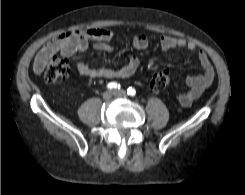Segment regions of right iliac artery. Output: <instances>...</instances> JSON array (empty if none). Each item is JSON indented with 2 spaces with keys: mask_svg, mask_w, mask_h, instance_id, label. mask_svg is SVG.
I'll use <instances>...</instances> for the list:
<instances>
[{
  "mask_svg": "<svg viewBox=\"0 0 245 195\" xmlns=\"http://www.w3.org/2000/svg\"><path fill=\"white\" fill-rule=\"evenodd\" d=\"M120 84L116 83V82H111L107 85V88L109 89H120Z\"/></svg>",
  "mask_w": 245,
  "mask_h": 195,
  "instance_id": "obj_1",
  "label": "right iliac artery"
}]
</instances>
